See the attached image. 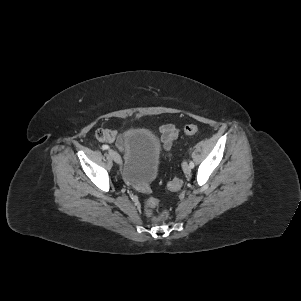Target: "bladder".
I'll use <instances>...</instances> for the list:
<instances>
[{"mask_svg": "<svg viewBox=\"0 0 301 301\" xmlns=\"http://www.w3.org/2000/svg\"><path fill=\"white\" fill-rule=\"evenodd\" d=\"M159 146L148 130L130 128L125 135V153L122 173L124 179L135 185H143L156 176Z\"/></svg>", "mask_w": 301, "mask_h": 301, "instance_id": "31cf9c89", "label": "bladder"}]
</instances>
